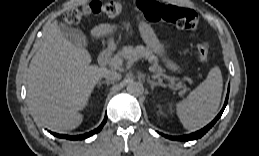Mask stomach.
I'll return each instance as SVG.
<instances>
[{"mask_svg":"<svg viewBox=\"0 0 259 156\" xmlns=\"http://www.w3.org/2000/svg\"><path fill=\"white\" fill-rule=\"evenodd\" d=\"M139 31L146 46L159 56L169 70L178 71L179 67L167 57L166 45L161 43L154 31L145 23L139 24Z\"/></svg>","mask_w":259,"mask_h":156,"instance_id":"obj_1","label":"stomach"}]
</instances>
